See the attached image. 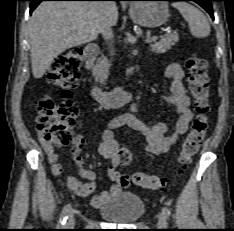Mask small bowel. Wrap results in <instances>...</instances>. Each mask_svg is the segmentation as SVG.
<instances>
[{"instance_id": "1", "label": "small bowel", "mask_w": 234, "mask_h": 231, "mask_svg": "<svg viewBox=\"0 0 234 231\" xmlns=\"http://www.w3.org/2000/svg\"><path fill=\"white\" fill-rule=\"evenodd\" d=\"M165 74L171 81V93L164 97V101L174 107L179 115L175 130L167 135L169 125L166 122L161 121L148 125L139 120L133 113L123 114L111 119L102 133L98 148L100 155L108 161L107 176L112 182L108 190L96 193V174L83 166V159L80 156L84 139L80 136L75 138L72 158L78 166L82 180L74 176H67L65 177V185L80 197H90L93 207L103 206L110 199L117 196L127 184V177L118 171L120 165L118 160L119 144L114 136L115 129L128 126L140 133L145 140V150L153 155L168 152L178 143L179 137L188 131L193 113L190 109V100L183 85V70L179 64L173 63L167 67ZM136 109L137 105L133 104L131 110L134 112ZM42 144L47 153L53 174L59 177L62 176V165L52 146L45 140H42Z\"/></svg>"}]
</instances>
